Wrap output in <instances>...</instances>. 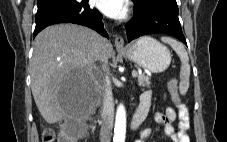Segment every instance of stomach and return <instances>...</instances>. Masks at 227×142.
Here are the masks:
<instances>
[{
    "instance_id": "stomach-1",
    "label": "stomach",
    "mask_w": 227,
    "mask_h": 142,
    "mask_svg": "<svg viewBox=\"0 0 227 142\" xmlns=\"http://www.w3.org/2000/svg\"><path fill=\"white\" fill-rule=\"evenodd\" d=\"M121 52L126 58L152 73L165 71L171 63L168 48L149 36L137 39Z\"/></svg>"
}]
</instances>
